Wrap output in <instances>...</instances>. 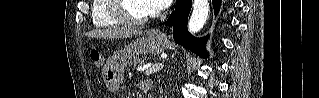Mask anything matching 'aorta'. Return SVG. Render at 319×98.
I'll use <instances>...</instances> for the list:
<instances>
[{
    "mask_svg": "<svg viewBox=\"0 0 319 98\" xmlns=\"http://www.w3.org/2000/svg\"><path fill=\"white\" fill-rule=\"evenodd\" d=\"M209 15V0H194L193 11L188 22V30L192 34L199 32L205 25Z\"/></svg>",
    "mask_w": 319,
    "mask_h": 98,
    "instance_id": "762f6f07",
    "label": "aorta"
}]
</instances>
